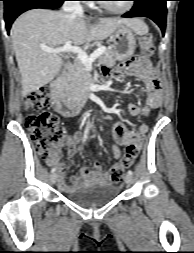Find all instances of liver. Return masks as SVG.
<instances>
[{
    "label": "liver",
    "instance_id": "1",
    "mask_svg": "<svg viewBox=\"0 0 194 253\" xmlns=\"http://www.w3.org/2000/svg\"><path fill=\"white\" fill-rule=\"evenodd\" d=\"M119 25L140 35L148 32V26L138 18L100 19L97 24H90L83 15L47 9H33L19 16L10 34L22 76L23 96L51 82L60 71L61 58L44 52L42 46L58 48L68 41L83 45L104 40Z\"/></svg>",
    "mask_w": 194,
    "mask_h": 253
}]
</instances>
